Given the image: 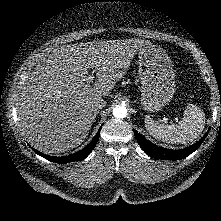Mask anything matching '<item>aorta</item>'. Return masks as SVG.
<instances>
[{"label": "aorta", "instance_id": "aorta-1", "mask_svg": "<svg viewBox=\"0 0 221 221\" xmlns=\"http://www.w3.org/2000/svg\"><path fill=\"white\" fill-rule=\"evenodd\" d=\"M115 118H124L127 116V109L124 105H116L113 109Z\"/></svg>", "mask_w": 221, "mask_h": 221}]
</instances>
